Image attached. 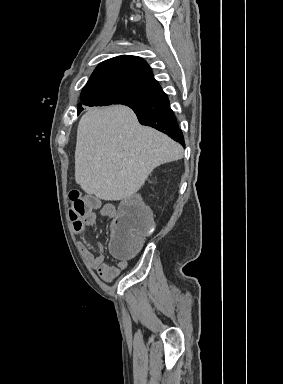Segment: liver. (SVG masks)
<instances>
[{"mask_svg":"<svg viewBox=\"0 0 283 384\" xmlns=\"http://www.w3.org/2000/svg\"><path fill=\"white\" fill-rule=\"evenodd\" d=\"M181 158L180 144L140 126L127 106L90 108L78 124L76 184L100 200H127L154 168Z\"/></svg>","mask_w":283,"mask_h":384,"instance_id":"6515ba94","label":"liver"}]
</instances>
